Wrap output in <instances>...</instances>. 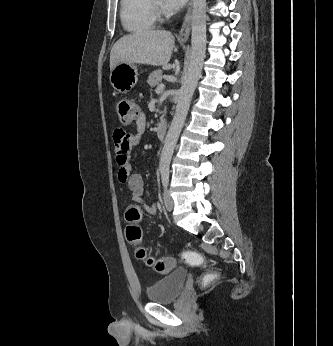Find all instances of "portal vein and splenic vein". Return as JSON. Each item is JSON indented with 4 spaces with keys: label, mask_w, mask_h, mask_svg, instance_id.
Listing matches in <instances>:
<instances>
[{
    "label": "portal vein and splenic vein",
    "mask_w": 333,
    "mask_h": 346,
    "mask_svg": "<svg viewBox=\"0 0 333 346\" xmlns=\"http://www.w3.org/2000/svg\"><path fill=\"white\" fill-rule=\"evenodd\" d=\"M165 88V85L164 84H160L157 86V89H156V93H161Z\"/></svg>",
    "instance_id": "obj_1"
}]
</instances>
